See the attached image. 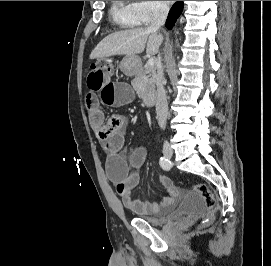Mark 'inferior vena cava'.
<instances>
[{"instance_id":"1","label":"inferior vena cava","mask_w":271,"mask_h":266,"mask_svg":"<svg viewBox=\"0 0 271 266\" xmlns=\"http://www.w3.org/2000/svg\"><path fill=\"white\" fill-rule=\"evenodd\" d=\"M169 12V6L164 3H156L153 10V16L148 30L157 33L161 26L165 24L167 15ZM160 63V56H159ZM156 115L159 126L165 129L166 121L168 117V103L166 92L164 89V73L161 63L157 71V99H156Z\"/></svg>"}]
</instances>
